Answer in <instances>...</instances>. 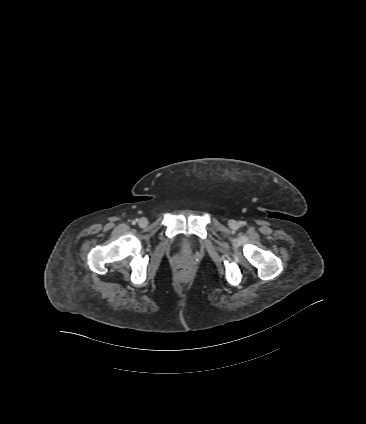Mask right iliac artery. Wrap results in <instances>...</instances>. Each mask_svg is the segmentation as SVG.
<instances>
[{"label": "right iliac artery", "instance_id": "82829eb1", "mask_svg": "<svg viewBox=\"0 0 366 424\" xmlns=\"http://www.w3.org/2000/svg\"><path fill=\"white\" fill-rule=\"evenodd\" d=\"M139 220L138 219H135V220H133V224H136L137 222H138Z\"/></svg>", "mask_w": 366, "mask_h": 424}]
</instances>
